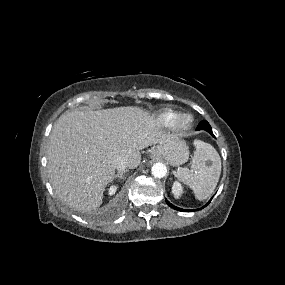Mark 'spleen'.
Instances as JSON below:
<instances>
[{"label": "spleen", "mask_w": 285, "mask_h": 285, "mask_svg": "<svg viewBox=\"0 0 285 285\" xmlns=\"http://www.w3.org/2000/svg\"><path fill=\"white\" fill-rule=\"evenodd\" d=\"M195 152L191 168L174 172L175 177L189 186L195 197L202 201L214 191L221 173V159L218 152L208 143L194 141Z\"/></svg>", "instance_id": "obj_1"}]
</instances>
